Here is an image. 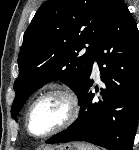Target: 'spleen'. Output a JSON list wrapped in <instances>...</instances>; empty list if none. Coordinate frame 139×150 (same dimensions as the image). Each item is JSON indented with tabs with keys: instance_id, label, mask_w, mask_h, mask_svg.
I'll return each instance as SVG.
<instances>
[{
	"instance_id": "3e777b00",
	"label": "spleen",
	"mask_w": 139,
	"mask_h": 150,
	"mask_svg": "<svg viewBox=\"0 0 139 150\" xmlns=\"http://www.w3.org/2000/svg\"><path fill=\"white\" fill-rule=\"evenodd\" d=\"M88 149H89V150H99V149H98L97 147H95V146H89Z\"/></svg>"
}]
</instances>
